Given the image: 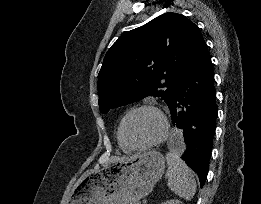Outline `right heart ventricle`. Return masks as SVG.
I'll return each instance as SVG.
<instances>
[{"label":"right heart ventricle","instance_id":"1","mask_svg":"<svg viewBox=\"0 0 261 204\" xmlns=\"http://www.w3.org/2000/svg\"><path fill=\"white\" fill-rule=\"evenodd\" d=\"M118 143H119V146L121 147V149H122L124 152H128V151H129V150L125 149V148L120 144L119 140H118Z\"/></svg>","mask_w":261,"mask_h":204}]
</instances>
